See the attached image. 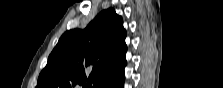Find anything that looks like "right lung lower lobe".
<instances>
[{
    "mask_svg": "<svg viewBox=\"0 0 223 88\" xmlns=\"http://www.w3.org/2000/svg\"><path fill=\"white\" fill-rule=\"evenodd\" d=\"M123 84H124V81L120 85H118V86H116L114 88H123Z\"/></svg>",
    "mask_w": 223,
    "mask_h": 88,
    "instance_id": "1",
    "label": "right lung lower lobe"
}]
</instances>
